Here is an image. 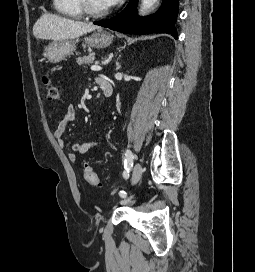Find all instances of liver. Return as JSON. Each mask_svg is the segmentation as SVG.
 <instances>
[{"label":"liver","mask_w":255,"mask_h":272,"mask_svg":"<svg viewBox=\"0 0 255 272\" xmlns=\"http://www.w3.org/2000/svg\"><path fill=\"white\" fill-rule=\"evenodd\" d=\"M92 23L74 21L55 14H43L33 26L35 38L62 41L80 37L86 33L99 29Z\"/></svg>","instance_id":"6515ba94"}]
</instances>
